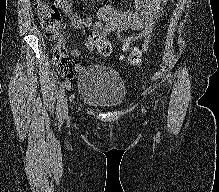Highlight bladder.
<instances>
[{"mask_svg": "<svg viewBox=\"0 0 219 192\" xmlns=\"http://www.w3.org/2000/svg\"><path fill=\"white\" fill-rule=\"evenodd\" d=\"M78 97L99 108H116L126 97V85L114 70L102 65H87L78 75Z\"/></svg>", "mask_w": 219, "mask_h": 192, "instance_id": "bladder-1", "label": "bladder"}]
</instances>
